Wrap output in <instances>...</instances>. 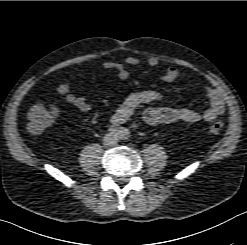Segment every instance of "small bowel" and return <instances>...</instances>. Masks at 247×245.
Wrapping results in <instances>:
<instances>
[{
    "mask_svg": "<svg viewBox=\"0 0 247 245\" xmlns=\"http://www.w3.org/2000/svg\"><path fill=\"white\" fill-rule=\"evenodd\" d=\"M140 60L131 56L124 61H104L101 67L106 70H114L120 79L126 80L130 76L128 67L137 66ZM147 64L156 67L159 61L156 58H149ZM180 78L179 70L176 67H169L164 72L162 79L165 82L173 83ZM205 95L209 107L204 111H197L190 108L175 107H150L143 112V120L151 125L158 126L174 122L199 123L213 122L224 113V102L216 89L211 86H205ZM57 92L65 100L75 106L83 113L91 110V104L87 98L76 95L72 92L68 83H62L58 86ZM163 95L156 90H142L129 94L111 116V122L121 124L126 122L134 112L143 104L161 102Z\"/></svg>",
    "mask_w": 247,
    "mask_h": 245,
    "instance_id": "1",
    "label": "small bowel"
}]
</instances>
